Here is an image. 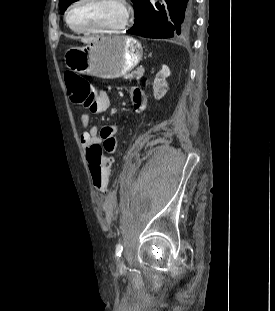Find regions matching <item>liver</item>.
I'll return each mask as SVG.
<instances>
[{
    "label": "liver",
    "mask_w": 275,
    "mask_h": 311,
    "mask_svg": "<svg viewBox=\"0 0 275 311\" xmlns=\"http://www.w3.org/2000/svg\"><path fill=\"white\" fill-rule=\"evenodd\" d=\"M94 38H92V39H88V40H86V42H90V41H92Z\"/></svg>",
    "instance_id": "liver-1"
}]
</instances>
